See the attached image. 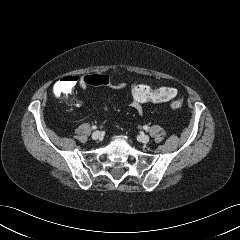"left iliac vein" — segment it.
I'll use <instances>...</instances> for the list:
<instances>
[{
	"label": "left iliac vein",
	"mask_w": 240,
	"mask_h": 240,
	"mask_svg": "<svg viewBox=\"0 0 240 240\" xmlns=\"http://www.w3.org/2000/svg\"><path fill=\"white\" fill-rule=\"evenodd\" d=\"M139 140L142 142V143H148L149 140H150V137L146 134H140L139 135Z\"/></svg>",
	"instance_id": "obj_1"
}]
</instances>
